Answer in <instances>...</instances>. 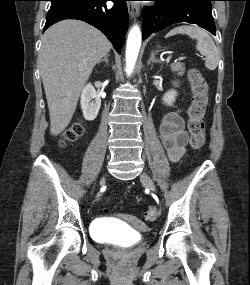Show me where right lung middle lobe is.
I'll list each match as a JSON object with an SVG mask.
<instances>
[{"label":"right lung middle lobe","instance_id":"1","mask_svg":"<svg viewBox=\"0 0 250 285\" xmlns=\"http://www.w3.org/2000/svg\"><path fill=\"white\" fill-rule=\"evenodd\" d=\"M51 1V7L62 5L68 2L78 1V0H50Z\"/></svg>","mask_w":250,"mask_h":285}]
</instances>
